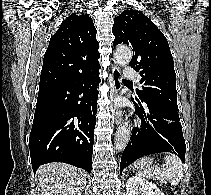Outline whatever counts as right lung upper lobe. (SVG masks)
I'll return each mask as SVG.
<instances>
[{
  "instance_id": "right-lung-upper-lobe-1",
  "label": "right lung upper lobe",
  "mask_w": 211,
  "mask_h": 195,
  "mask_svg": "<svg viewBox=\"0 0 211 195\" xmlns=\"http://www.w3.org/2000/svg\"><path fill=\"white\" fill-rule=\"evenodd\" d=\"M96 28L88 14H71L50 38L39 89L76 79L100 68Z\"/></svg>"
}]
</instances>
